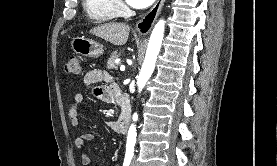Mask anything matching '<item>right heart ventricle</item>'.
<instances>
[{
  "mask_svg": "<svg viewBox=\"0 0 277 166\" xmlns=\"http://www.w3.org/2000/svg\"><path fill=\"white\" fill-rule=\"evenodd\" d=\"M82 6L88 18L96 23L112 21L119 15L114 0H82Z\"/></svg>",
  "mask_w": 277,
  "mask_h": 166,
  "instance_id": "obj_1",
  "label": "right heart ventricle"
}]
</instances>
